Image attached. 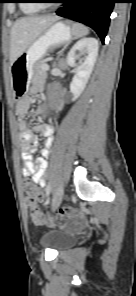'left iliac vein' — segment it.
<instances>
[{"mask_svg": "<svg viewBox=\"0 0 136 296\" xmlns=\"http://www.w3.org/2000/svg\"><path fill=\"white\" fill-rule=\"evenodd\" d=\"M63 196H64L63 187L60 185V186H58L55 196L52 201L51 208L53 211L59 207V205L61 204V201L63 199Z\"/></svg>", "mask_w": 136, "mask_h": 296, "instance_id": "4c4485c4", "label": "left iliac vein"}]
</instances>
